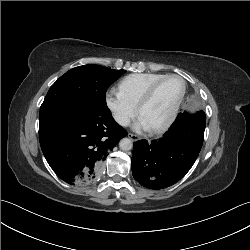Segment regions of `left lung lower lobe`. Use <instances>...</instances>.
Here are the masks:
<instances>
[{"label": "left lung lower lobe", "mask_w": 250, "mask_h": 250, "mask_svg": "<svg viewBox=\"0 0 250 250\" xmlns=\"http://www.w3.org/2000/svg\"><path fill=\"white\" fill-rule=\"evenodd\" d=\"M206 116L179 113L162 138L133 143L131 168L134 179L150 189L169 187L190 170L201 150Z\"/></svg>", "instance_id": "obj_1"}]
</instances>
